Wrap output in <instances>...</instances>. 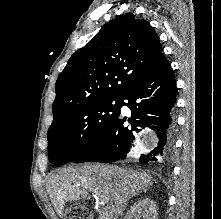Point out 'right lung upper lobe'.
Listing matches in <instances>:
<instances>
[{
    "label": "right lung upper lobe",
    "mask_w": 221,
    "mask_h": 219,
    "mask_svg": "<svg viewBox=\"0 0 221 219\" xmlns=\"http://www.w3.org/2000/svg\"><path fill=\"white\" fill-rule=\"evenodd\" d=\"M162 56L149 22L130 13L109 21L71 56L59 75L53 122L84 104L120 99Z\"/></svg>",
    "instance_id": "obj_1"
}]
</instances>
